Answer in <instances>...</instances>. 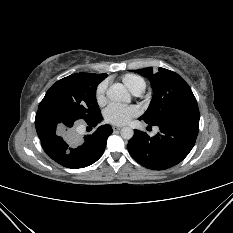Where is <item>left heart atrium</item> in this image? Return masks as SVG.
Wrapping results in <instances>:
<instances>
[{"mask_svg": "<svg viewBox=\"0 0 233 233\" xmlns=\"http://www.w3.org/2000/svg\"><path fill=\"white\" fill-rule=\"evenodd\" d=\"M139 114L136 106H127L121 104H110L103 112L105 122L112 125H125L132 118Z\"/></svg>", "mask_w": 233, "mask_h": 233, "instance_id": "left-heart-atrium-1", "label": "left heart atrium"}]
</instances>
